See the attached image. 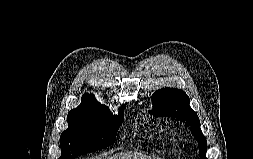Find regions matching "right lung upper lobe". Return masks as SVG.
I'll use <instances>...</instances> for the list:
<instances>
[{
	"instance_id": "obj_1",
	"label": "right lung upper lobe",
	"mask_w": 253,
	"mask_h": 159,
	"mask_svg": "<svg viewBox=\"0 0 253 159\" xmlns=\"http://www.w3.org/2000/svg\"><path fill=\"white\" fill-rule=\"evenodd\" d=\"M81 104H100L98 103L93 95L85 94L82 97V103Z\"/></svg>"
}]
</instances>
